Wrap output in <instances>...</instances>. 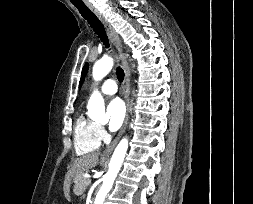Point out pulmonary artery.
Returning <instances> with one entry per match:
<instances>
[{
	"mask_svg": "<svg viewBox=\"0 0 253 204\" xmlns=\"http://www.w3.org/2000/svg\"><path fill=\"white\" fill-rule=\"evenodd\" d=\"M117 84L113 79H107L102 84L100 91L104 95H114L117 92Z\"/></svg>",
	"mask_w": 253,
	"mask_h": 204,
	"instance_id": "1",
	"label": "pulmonary artery"
}]
</instances>
